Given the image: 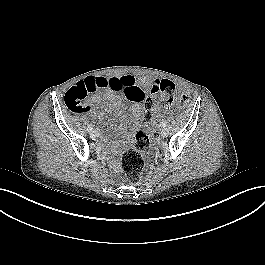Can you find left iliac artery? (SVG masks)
I'll use <instances>...</instances> for the list:
<instances>
[{
  "label": "left iliac artery",
  "mask_w": 265,
  "mask_h": 265,
  "mask_svg": "<svg viewBox=\"0 0 265 265\" xmlns=\"http://www.w3.org/2000/svg\"><path fill=\"white\" fill-rule=\"evenodd\" d=\"M166 124H167V122L164 121V120L161 122V126H162V127H166Z\"/></svg>",
  "instance_id": "obj_1"
}]
</instances>
